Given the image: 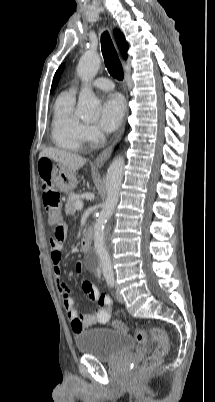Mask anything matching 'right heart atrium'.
Segmentation results:
<instances>
[{
	"instance_id": "right-heart-atrium-1",
	"label": "right heart atrium",
	"mask_w": 215,
	"mask_h": 402,
	"mask_svg": "<svg viewBox=\"0 0 215 402\" xmlns=\"http://www.w3.org/2000/svg\"><path fill=\"white\" fill-rule=\"evenodd\" d=\"M81 137L83 142L94 144L102 138V133L94 125L83 124L81 129Z\"/></svg>"
}]
</instances>
